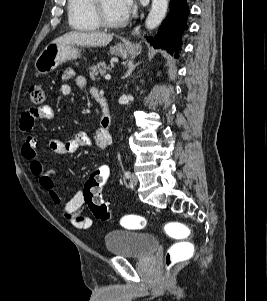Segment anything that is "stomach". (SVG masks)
Listing matches in <instances>:
<instances>
[{
  "label": "stomach",
  "instance_id": "0dacf381",
  "mask_svg": "<svg viewBox=\"0 0 267 301\" xmlns=\"http://www.w3.org/2000/svg\"><path fill=\"white\" fill-rule=\"evenodd\" d=\"M129 49L123 44L110 48L112 55L126 58ZM80 57V50L73 44L50 43L40 53L35 61V69L39 74L45 75L56 69L60 64Z\"/></svg>",
  "mask_w": 267,
  "mask_h": 301
}]
</instances>
